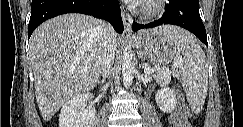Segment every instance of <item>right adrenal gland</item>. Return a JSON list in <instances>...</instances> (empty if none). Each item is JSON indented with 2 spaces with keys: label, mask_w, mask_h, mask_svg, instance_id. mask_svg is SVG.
<instances>
[{
  "label": "right adrenal gland",
  "mask_w": 243,
  "mask_h": 127,
  "mask_svg": "<svg viewBox=\"0 0 243 127\" xmlns=\"http://www.w3.org/2000/svg\"><path fill=\"white\" fill-rule=\"evenodd\" d=\"M105 80H106V78H102V79L98 80V84L104 83Z\"/></svg>",
  "instance_id": "right-adrenal-gland-1"
}]
</instances>
